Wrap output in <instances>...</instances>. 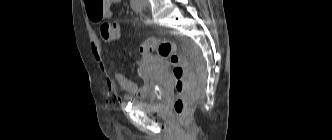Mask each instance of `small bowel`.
Wrapping results in <instances>:
<instances>
[{
  "label": "small bowel",
  "mask_w": 332,
  "mask_h": 140,
  "mask_svg": "<svg viewBox=\"0 0 332 140\" xmlns=\"http://www.w3.org/2000/svg\"><path fill=\"white\" fill-rule=\"evenodd\" d=\"M121 0H106L105 10L103 14L104 19L112 17V6L120 3ZM115 41L113 38L105 37L100 33L99 37H95L92 41V53L103 72V77L107 84V90L111 94L117 93L115 82L126 92L124 98L127 101H133L135 97H145L150 92V80L144 68H139V75L142 80L141 85H137L127 78L124 73L116 72L114 79L110 76L105 61L102 57V43H112Z\"/></svg>",
  "instance_id": "1"
}]
</instances>
